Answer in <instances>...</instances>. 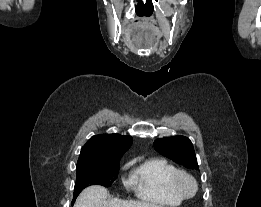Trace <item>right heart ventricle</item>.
Returning <instances> with one entry per match:
<instances>
[{
  "label": "right heart ventricle",
  "instance_id": "e07e8e85",
  "mask_svg": "<svg viewBox=\"0 0 261 207\" xmlns=\"http://www.w3.org/2000/svg\"><path fill=\"white\" fill-rule=\"evenodd\" d=\"M132 178L137 195L142 200L163 206H178L183 198L172 187V178L178 171L175 165L163 158L134 160Z\"/></svg>",
  "mask_w": 261,
  "mask_h": 207
}]
</instances>
